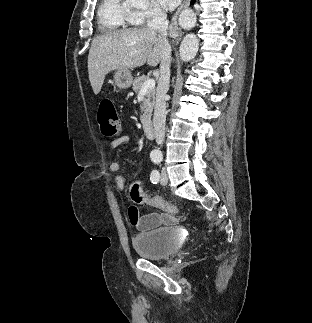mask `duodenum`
Wrapping results in <instances>:
<instances>
[{
  "label": "duodenum",
  "mask_w": 312,
  "mask_h": 323,
  "mask_svg": "<svg viewBox=\"0 0 312 323\" xmlns=\"http://www.w3.org/2000/svg\"><path fill=\"white\" fill-rule=\"evenodd\" d=\"M141 125H142V130L145 134L146 137L149 139H154L155 134H154V129H153V124L150 118H143L141 120Z\"/></svg>",
  "instance_id": "obj_1"
}]
</instances>
